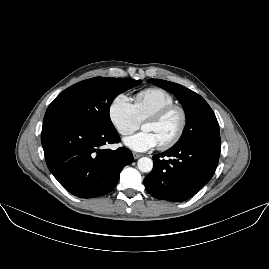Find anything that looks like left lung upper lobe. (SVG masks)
I'll return each instance as SVG.
<instances>
[{
  "label": "left lung upper lobe",
  "instance_id": "1",
  "mask_svg": "<svg viewBox=\"0 0 269 269\" xmlns=\"http://www.w3.org/2000/svg\"><path fill=\"white\" fill-rule=\"evenodd\" d=\"M148 82L173 93L185 110L186 126L175 145L190 146L207 143L221 146L219 125L215 114L200 95L182 85L166 80L149 79Z\"/></svg>",
  "mask_w": 269,
  "mask_h": 269
}]
</instances>
